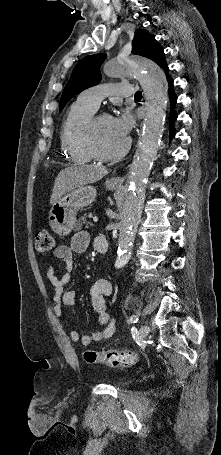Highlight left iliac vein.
<instances>
[{"instance_id": "4c4485c4", "label": "left iliac vein", "mask_w": 221, "mask_h": 455, "mask_svg": "<svg viewBox=\"0 0 221 455\" xmlns=\"http://www.w3.org/2000/svg\"><path fill=\"white\" fill-rule=\"evenodd\" d=\"M149 332V327L147 325H142L139 330V336L142 339H145L146 336L148 335Z\"/></svg>"}]
</instances>
